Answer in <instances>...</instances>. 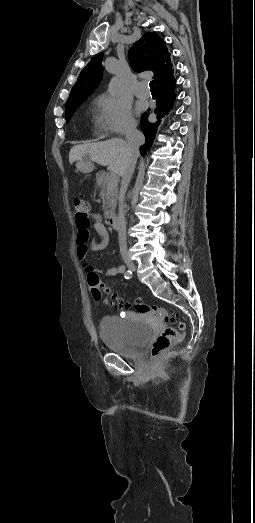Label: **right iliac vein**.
<instances>
[{
  "instance_id": "obj_1",
  "label": "right iliac vein",
  "mask_w": 255,
  "mask_h": 523,
  "mask_svg": "<svg viewBox=\"0 0 255 523\" xmlns=\"http://www.w3.org/2000/svg\"><path fill=\"white\" fill-rule=\"evenodd\" d=\"M124 261H125V264L127 265V267H128L130 270H132V271H135V270H136V266H135V264L133 263V261H132L131 259H129V258H125Z\"/></svg>"
}]
</instances>
